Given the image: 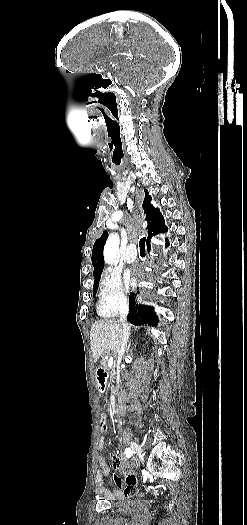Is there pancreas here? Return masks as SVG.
<instances>
[{
    "label": "pancreas",
    "mask_w": 247,
    "mask_h": 525,
    "mask_svg": "<svg viewBox=\"0 0 247 525\" xmlns=\"http://www.w3.org/2000/svg\"><path fill=\"white\" fill-rule=\"evenodd\" d=\"M102 361H103L102 365H104V367H107L106 358H102ZM109 373H111L112 377H115V375H116V363H113V366L110 367Z\"/></svg>",
    "instance_id": "pancreas-1"
}]
</instances>
